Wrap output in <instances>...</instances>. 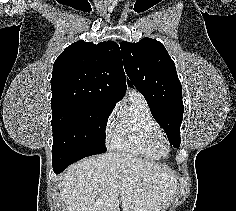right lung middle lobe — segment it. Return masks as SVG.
Returning a JSON list of instances; mask_svg holds the SVG:
<instances>
[{
    "label": "right lung middle lobe",
    "instance_id": "1",
    "mask_svg": "<svg viewBox=\"0 0 236 211\" xmlns=\"http://www.w3.org/2000/svg\"><path fill=\"white\" fill-rule=\"evenodd\" d=\"M114 106L94 103H67L52 108L53 151L74 148L105 149L108 115Z\"/></svg>",
    "mask_w": 236,
    "mask_h": 211
}]
</instances>
